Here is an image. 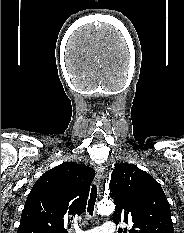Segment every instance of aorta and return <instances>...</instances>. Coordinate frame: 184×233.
Returning a JSON list of instances; mask_svg holds the SVG:
<instances>
[{
	"mask_svg": "<svg viewBox=\"0 0 184 233\" xmlns=\"http://www.w3.org/2000/svg\"><path fill=\"white\" fill-rule=\"evenodd\" d=\"M114 210V204L110 201H101L97 205V213L99 215L111 214Z\"/></svg>",
	"mask_w": 184,
	"mask_h": 233,
	"instance_id": "obj_1",
	"label": "aorta"
}]
</instances>
